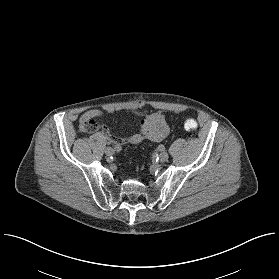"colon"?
I'll use <instances>...</instances> for the list:
<instances>
[{
	"label": "colon",
	"mask_w": 279,
	"mask_h": 279,
	"mask_svg": "<svg viewBox=\"0 0 279 279\" xmlns=\"http://www.w3.org/2000/svg\"><path fill=\"white\" fill-rule=\"evenodd\" d=\"M184 129L188 132H195L197 130L198 124L197 121L193 118L186 117L183 121ZM83 131L85 132H92L93 129L90 126V123H87L83 126L82 128Z\"/></svg>",
	"instance_id": "1"
}]
</instances>
